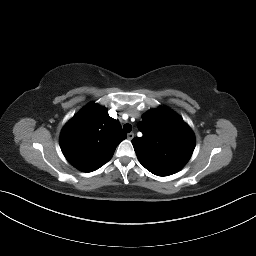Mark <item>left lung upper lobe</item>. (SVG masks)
Wrapping results in <instances>:
<instances>
[{
	"label": "left lung upper lobe",
	"mask_w": 256,
	"mask_h": 256,
	"mask_svg": "<svg viewBox=\"0 0 256 256\" xmlns=\"http://www.w3.org/2000/svg\"><path fill=\"white\" fill-rule=\"evenodd\" d=\"M142 137L132 140L140 163L151 173L168 176L190 159L195 136L177 114L167 108L150 110L138 124Z\"/></svg>",
	"instance_id": "1"
}]
</instances>
